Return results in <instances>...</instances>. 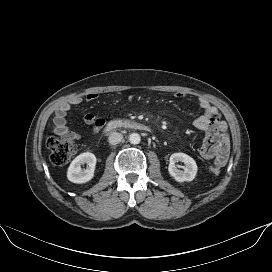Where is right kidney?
Wrapping results in <instances>:
<instances>
[{
	"label": "right kidney",
	"mask_w": 272,
	"mask_h": 272,
	"mask_svg": "<svg viewBox=\"0 0 272 272\" xmlns=\"http://www.w3.org/2000/svg\"><path fill=\"white\" fill-rule=\"evenodd\" d=\"M85 163H87L88 167L82 170L81 165ZM95 165L96 157L93 153L85 152L78 155L68 167V180L77 184L90 181L94 176Z\"/></svg>",
	"instance_id": "obj_1"
}]
</instances>
